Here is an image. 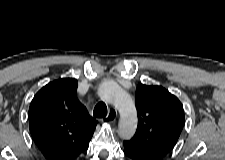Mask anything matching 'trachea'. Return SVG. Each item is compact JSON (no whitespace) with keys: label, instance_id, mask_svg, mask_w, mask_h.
<instances>
[{"label":"trachea","instance_id":"3493384b","mask_svg":"<svg viewBox=\"0 0 225 160\" xmlns=\"http://www.w3.org/2000/svg\"><path fill=\"white\" fill-rule=\"evenodd\" d=\"M93 115L95 118H104L107 115V106L104 102H99L96 104L93 110Z\"/></svg>","mask_w":225,"mask_h":160}]
</instances>
